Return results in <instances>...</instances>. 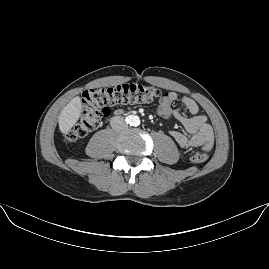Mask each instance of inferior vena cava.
Here are the masks:
<instances>
[{
  "label": "inferior vena cava",
  "mask_w": 269,
  "mask_h": 269,
  "mask_svg": "<svg viewBox=\"0 0 269 269\" xmlns=\"http://www.w3.org/2000/svg\"><path fill=\"white\" fill-rule=\"evenodd\" d=\"M110 125L114 130H125L128 125L125 123L124 118L121 116H114L110 119Z\"/></svg>",
  "instance_id": "obj_1"
}]
</instances>
